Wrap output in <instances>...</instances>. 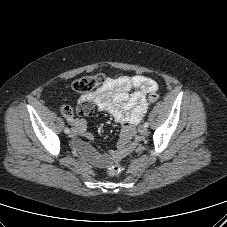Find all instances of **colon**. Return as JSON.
<instances>
[{
  "instance_id": "5ec220e1",
  "label": "colon",
  "mask_w": 227,
  "mask_h": 227,
  "mask_svg": "<svg viewBox=\"0 0 227 227\" xmlns=\"http://www.w3.org/2000/svg\"><path fill=\"white\" fill-rule=\"evenodd\" d=\"M105 81V78L103 74H95L91 76H84L77 80H75L72 84V88L77 93H90L93 91L96 87L101 86ZM158 95L157 93H152L149 95L148 101L150 103H153L157 100ZM62 114L66 117H69L72 115V110L69 106H63ZM122 171V168L119 164H113L109 166L108 168V174L111 177H117Z\"/></svg>"
}]
</instances>
